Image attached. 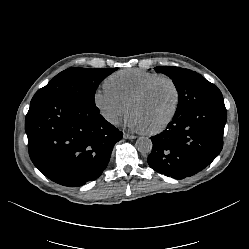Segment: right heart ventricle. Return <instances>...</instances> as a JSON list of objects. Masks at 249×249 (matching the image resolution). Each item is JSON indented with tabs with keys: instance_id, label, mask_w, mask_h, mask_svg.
Listing matches in <instances>:
<instances>
[{
	"instance_id": "right-heart-ventricle-1",
	"label": "right heart ventricle",
	"mask_w": 249,
	"mask_h": 249,
	"mask_svg": "<svg viewBox=\"0 0 249 249\" xmlns=\"http://www.w3.org/2000/svg\"><path fill=\"white\" fill-rule=\"evenodd\" d=\"M161 76L160 73L143 69H123L105 79V86L122 100L128 102L131 96L148 81Z\"/></svg>"
}]
</instances>
